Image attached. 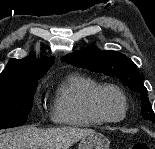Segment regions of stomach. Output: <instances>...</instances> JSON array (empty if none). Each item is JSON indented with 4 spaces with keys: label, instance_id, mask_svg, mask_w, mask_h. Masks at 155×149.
<instances>
[{
    "label": "stomach",
    "instance_id": "obj_1",
    "mask_svg": "<svg viewBox=\"0 0 155 149\" xmlns=\"http://www.w3.org/2000/svg\"><path fill=\"white\" fill-rule=\"evenodd\" d=\"M109 139L101 133H91L80 139L78 149H109Z\"/></svg>",
    "mask_w": 155,
    "mask_h": 149
}]
</instances>
